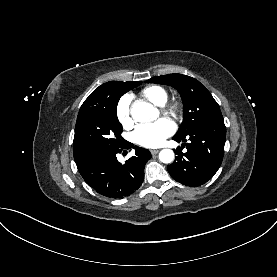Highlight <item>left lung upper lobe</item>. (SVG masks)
Returning a JSON list of instances; mask_svg holds the SVG:
<instances>
[{
    "label": "left lung upper lobe",
    "instance_id": "5c2ea615",
    "mask_svg": "<svg viewBox=\"0 0 277 277\" xmlns=\"http://www.w3.org/2000/svg\"><path fill=\"white\" fill-rule=\"evenodd\" d=\"M147 82L172 86L183 98L184 119L174 138L185 137L204 121L222 116L219 105L210 92L192 77L183 74H168L152 77Z\"/></svg>",
    "mask_w": 277,
    "mask_h": 277
}]
</instances>
